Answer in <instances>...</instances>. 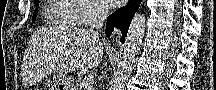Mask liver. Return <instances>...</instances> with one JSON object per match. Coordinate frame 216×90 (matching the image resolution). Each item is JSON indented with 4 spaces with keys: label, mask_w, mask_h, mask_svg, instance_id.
I'll return each mask as SVG.
<instances>
[{
    "label": "liver",
    "mask_w": 216,
    "mask_h": 90,
    "mask_svg": "<svg viewBox=\"0 0 216 90\" xmlns=\"http://www.w3.org/2000/svg\"><path fill=\"white\" fill-rule=\"evenodd\" d=\"M99 42L98 32L75 28V24H69L65 30L57 28L49 42L50 50L54 48V44H58L59 48L53 50L57 64L55 70L73 72L76 68H80L86 72L91 68H97L103 54Z\"/></svg>",
    "instance_id": "obj_1"
}]
</instances>
